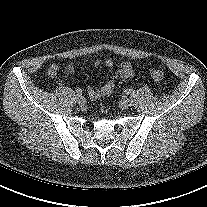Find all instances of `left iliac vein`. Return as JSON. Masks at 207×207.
<instances>
[{
	"mask_svg": "<svg viewBox=\"0 0 207 207\" xmlns=\"http://www.w3.org/2000/svg\"><path fill=\"white\" fill-rule=\"evenodd\" d=\"M131 105V101L129 98H124L120 102V108L127 109Z\"/></svg>",
	"mask_w": 207,
	"mask_h": 207,
	"instance_id": "4c4485c4",
	"label": "left iliac vein"
}]
</instances>
